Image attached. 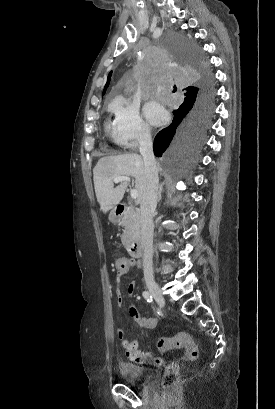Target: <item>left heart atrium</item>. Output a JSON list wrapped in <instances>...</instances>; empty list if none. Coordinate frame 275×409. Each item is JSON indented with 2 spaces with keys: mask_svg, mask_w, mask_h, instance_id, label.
<instances>
[{
  "mask_svg": "<svg viewBox=\"0 0 275 409\" xmlns=\"http://www.w3.org/2000/svg\"><path fill=\"white\" fill-rule=\"evenodd\" d=\"M145 113L155 124H163L167 120L166 112L155 103H148L145 107Z\"/></svg>",
  "mask_w": 275,
  "mask_h": 409,
  "instance_id": "left-heart-atrium-1",
  "label": "left heart atrium"
}]
</instances>
